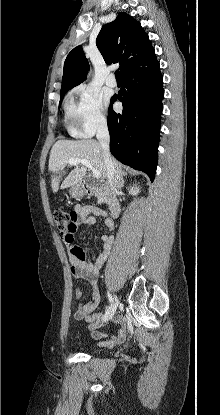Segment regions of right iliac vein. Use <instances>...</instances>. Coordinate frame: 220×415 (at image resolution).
Listing matches in <instances>:
<instances>
[{"label":"right iliac vein","mask_w":220,"mask_h":415,"mask_svg":"<svg viewBox=\"0 0 220 415\" xmlns=\"http://www.w3.org/2000/svg\"><path fill=\"white\" fill-rule=\"evenodd\" d=\"M117 305H118V299L117 297H115L112 305L110 306V308L106 311L105 315L103 316L102 322H106L113 317V315L115 314Z\"/></svg>","instance_id":"right-iliac-vein-1"}]
</instances>
